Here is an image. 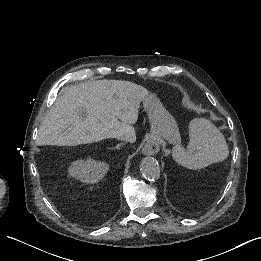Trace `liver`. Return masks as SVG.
<instances>
[{
  "label": "liver",
  "instance_id": "1",
  "mask_svg": "<svg viewBox=\"0 0 261 261\" xmlns=\"http://www.w3.org/2000/svg\"><path fill=\"white\" fill-rule=\"evenodd\" d=\"M149 92L132 82L102 80L66 88L42 122L40 145L72 147L110 138L135 143L133 127Z\"/></svg>",
  "mask_w": 261,
  "mask_h": 261
}]
</instances>
